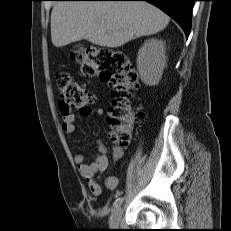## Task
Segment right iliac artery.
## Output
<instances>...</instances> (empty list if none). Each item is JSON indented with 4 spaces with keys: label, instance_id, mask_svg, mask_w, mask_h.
Listing matches in <instances>:
<instances>
[{
    "label": "right iliac artery",
    "instance_id": "obj_1",
    "mask_svg": "<svg viewBox=\"0 0 231 231\" xmlns=\"http://www.w3.org/2000/svg\"><path fill=\"white\" fill-rule=\"evenodd\" d=\"M123 200H124V197H119V198H117V199L115 200L114 204H113V207H114V208L119 207V206L122 204Z\"/></svg>",
    "mask_w": 231,
    "mask_h": 231
}]
</instances>
